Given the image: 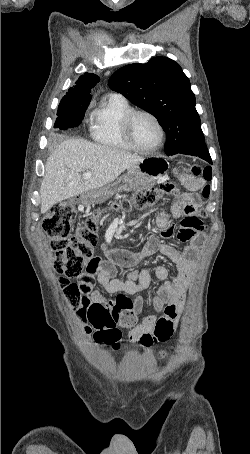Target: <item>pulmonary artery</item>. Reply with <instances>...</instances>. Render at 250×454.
<instances>
[{
  "instance_id": "obj_1",
  "label": "pulmonary artery",
  "mask_w": 250,
  "mask_h": 454,
  "mask_svg": "<svg viewBox=\"0 0 250 454\" xmlns=\"http://www.w3.org/2000/svg\"><path fill=\"white\" fill-rule=\"evenodd\" d=\"M116 96L122 97L121 95H116ZM122 98H123V97H122Z\"/></svg>"
}]
</instances>
